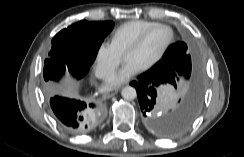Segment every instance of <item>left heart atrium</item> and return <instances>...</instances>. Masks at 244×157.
Segmentation results:
<instances>
[{
  "instance_id": "obj_1",
  "label": "left heart atrium",
  "mask_w": 244,
  "mask_h": 157,
  "mask_svg": "<svg viewBox=\"0 0 244 157\" xmlns=\"http://www.w3.org/2000/svg\"><path fill=\"white\" fill-rule=\"evenodd\" d=\"M140 67L132 61L126 60L123 66L113 74L105 83L107 89L116 88L127 82L140 71Z\"/></svg>"
}]
</instances>
